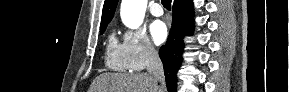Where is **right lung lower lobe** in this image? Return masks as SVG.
I'll use <instances>...</instances> for the list:
<instances>
[{"label": "right lung lower lobe", "mask_w": 289, "mask_h": 92, "mask_svg": "<svg viewBox=\"0 0 289 92\" xmlns=\"http://www.w3.org/2000/svg\"><path fill=\"white\" fill-rule=\"evenodd\" d=\"M192 0H177L173 3V21L170 34L165 46L159 50V56L164 66L167 89L169 92L176 91V73L182 60L183 42L185 34L190 35L194 26ZM187 20L188 23H184Z\"/></svg>", "instance_id": "1"}]
</instances>
